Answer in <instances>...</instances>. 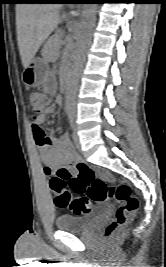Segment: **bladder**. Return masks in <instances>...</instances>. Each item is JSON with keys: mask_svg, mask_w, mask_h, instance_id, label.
I'll list each match as a JSON object with an SVG mask.
<instances>
[{"mask_svg": "<svg viewBox=\"0 0 166 267\" xmlns=\"http://www.w3.org/2000/svg\"><path fill=\"white\" fill-rule=\"evenodd\" d=\"M94 223L95 218L92 215H61L55 222L59 230L67 232H83L88 230Z\"/></svg>", "mask_w": 166, "mask_h": 267, "instance_id": "31cf9c89", "label": "bladder"}]
</instances>
